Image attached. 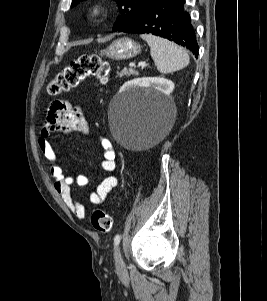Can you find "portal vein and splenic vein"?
Wrapping results in <instances>:
<instances>
[{
	"label": "portal vein and splenic vein",
	"instance_id": "18ae733b",
	"mask_svg": "<svg viewBox=\"0 0 267 301\" xmlns=\"http://www.w3.org/2000/svg\"><path fill=\"white\" fill-rule=\"evenodd\" d=\"M138 65L141 66L142 68L147 66V64L145 62H141ZM129 67H136V64L135 63H130Z\"/></svg>",
	"mask_w": 267,
	"mask_h": 301
}]
</instances>
